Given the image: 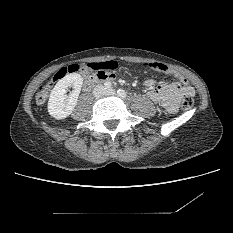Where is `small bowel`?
<instances>
[{
  "mask_svg": "<svg viewBox=\"0 0 233 233\" xmlns=\"http://www.w3.org/2000/svg\"><path fill=\"white\" fill-rule=\"evenodd\" d=\"M118 66V60L108 59L101 62L87 63L86 69L103 72L112 81L116 77L115 71ZM173 76L177 81L172 83L160 82L154 77L147 78L144 81V85L149 89L147 94L148 99L159 104L167 114H173L178 110L180 98L184 93L194 95L193 88L188 85L187 81L179 72L173 70Z\"/></svg>",
  "mask_w": 233,
  "mask_h": 233,
  "instance_id": "obj_1",
  "label": "small bowel"
}]
</instances>
